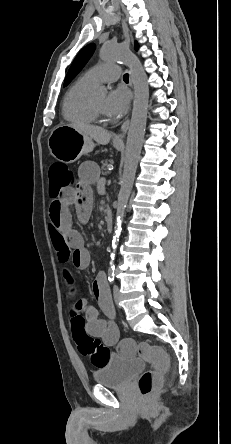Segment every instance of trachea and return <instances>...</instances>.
<instances>
[{"label":"trachea","mask_w":231,"mask_h":444,"mask_svg":"<svg viewBox=\"0 0 231 444\" xmlns=\"http://www.w3.org/2000/svg\"><path fill=\"white\" fill-rule=\"evenodd\" d=\"M123 79H124L125 81H128V80H129V74L126 73V74L123 76Z\"/></svg>","instance_id":"1"}]
</instances>
